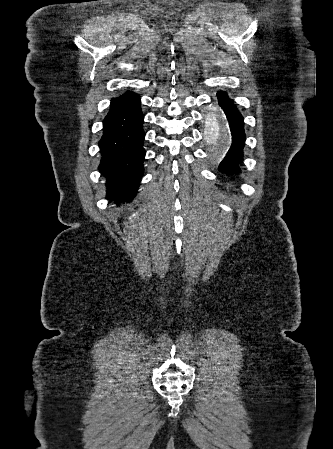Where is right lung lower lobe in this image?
Wrapping results in <instances>:
<instances>
[{
  "mask_svg": "<svg viewBox=\"0 0 333 449\" xmlns=\"http://www.w3.org/2000/svg\"><path fill=\"white\" fill-rule=\"evenodd\" d=\"M143 119L140 97L133 93L112 102L103 121L98 169L107 181L106 197L117 204L135 196L143 175Z\"/></svg>",
  "mask_w": 333,
  "mask_h": 449,
  "instance_id": "1",
  "label": "right lung lower lobe"
}]
</instances>
